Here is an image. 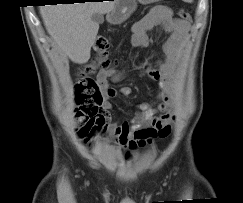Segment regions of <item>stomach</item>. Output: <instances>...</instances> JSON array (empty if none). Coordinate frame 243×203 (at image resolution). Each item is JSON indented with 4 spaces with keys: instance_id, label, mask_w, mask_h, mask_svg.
<instances>
[{
    "instance_id": "0dacf381",
    "label": "stomach",
    "mask_w": 243,
    "mask_h": 203,
    "mask_svg": "<svg viewBox=\"0 0 243 203\" xmlns=\"http://www.w3.org/2000/svg\"><path fill=\"white\" fill-rule=\"evenodd\" d=\"M147 5L160 0H116L114 8L107 13L106 19L109 23L116 25L126 21L136 10L137 2Z\"/></svg>"
}]
</instances>
